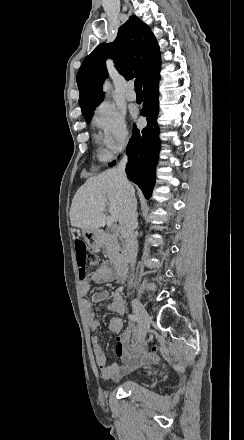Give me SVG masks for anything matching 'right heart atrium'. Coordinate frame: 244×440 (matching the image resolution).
<instances>
[{
	"label": "right heart atrium",
	"mask_w": 244,
	"mask_h": 440,
	"mask_svg": "<svg viewBox=\"0 0 244 440\" xmlns=\"http://www.w3.org/2000/svg\"><path fill=\"white\" fill-rule=\"evenodd\" d=\"M92 124L98 130L100 144L108 155L122 151L128 142L125 115L110 102L100 103L93 112Z\"/></svg>",
	"instance_id": "obj_1"
}]
</instances>
